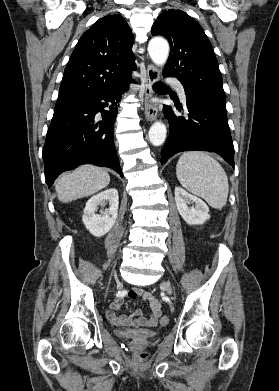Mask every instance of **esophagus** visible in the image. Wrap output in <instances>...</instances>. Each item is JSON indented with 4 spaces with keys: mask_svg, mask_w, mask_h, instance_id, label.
I'll return each instance as SVG.
<instances>
[{
    "mask_svg": "<svg viewBox=\"0 0 279 391\" xmlns=\"http://www.w3.org/2000/svg\"><path fill=\"white\" fill-rule=\"evenodd\" d=\"M145 84V118L147 121H154L158 115V107L151 103V98L154 96L152 86L159 80V71L154 65H149L146 71Z\"/></svg>",
    "mask_w": 279,
    "mask_h": 391,
    "instance_id": "obj_1",
    "label": "esophagus"
}]
</instances>
